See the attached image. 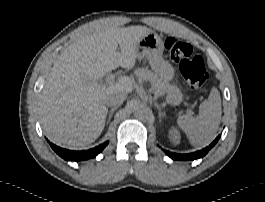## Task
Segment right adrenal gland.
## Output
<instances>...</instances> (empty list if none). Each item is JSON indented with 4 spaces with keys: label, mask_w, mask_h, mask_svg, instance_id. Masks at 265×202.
<instances>
[{
    "label": "right adrenal gland",
    "mask_w": 265,
    "mask_h": 202,
    "mask_svg": "<svg viewBox=\"0 0 265 202\" xmlns=\"http://www.w3.org/2000/svg\"><path fill=\"white\" fill-rule=\"evenodd\" d=\"M117 108H111V110L108 112V119H107V124L110 122L113 113L115 112Z\"/></svg>",
    "instance_id": "1"
}]
</instances>
